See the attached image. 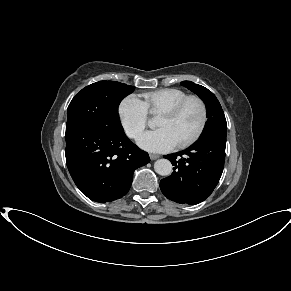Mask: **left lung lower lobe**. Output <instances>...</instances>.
<instances>
[{
	"instance_id": "0a47b994",
	"label": "left lung lower lobe",
	"mask_w": 291,
	"mask_h": 291,
	"mask_svg": "<svg viewBox=\"0 0 291 291\" xmlns=\"http://www.w3.org/2000/svg\"><path fill=\"white\" fill-rule=\"evenodd\" d=\"M226 137L206 136L190 148L170 155L173 173L161 180L160 189L170 200L195 205L213 192L222 175Z\"/></svg>"
}]
</instances>
